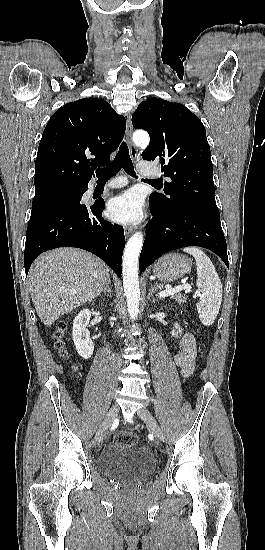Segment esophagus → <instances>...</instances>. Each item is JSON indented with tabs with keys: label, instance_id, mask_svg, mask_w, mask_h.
<instances>
[{
	"label": "esophagus",
	"instance_id": "1",
	"mask_svg": "<svg viewBox=\"0 0 265 550\" xmlns=\"http://www.w3.org/2000/svg\"><path fill=\"white\" fill-rule=\"evenodd\" d=\"M132 131H133V127H132V122H131V115L129 114L127 116V124H126V140H127V143L130 147V155L133 159H135L137 157V149H136L135 145L132 142ZM132 232H133L132 228H126L125 229L126 237L130 236V234Z\"/></svg>",
	"mask_w": 265,
	"mask_h": 550
}]
</instances>
